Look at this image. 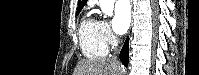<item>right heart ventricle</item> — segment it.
<instances>
[{"label":"right heart ventricle","instance_id":"1","mask_svg":"<svg viewBox=\"0 0 199 75\" xmlns=\"http://www.w3.org/2000/svg\"><path fill=\"white\" fill-rule=\"evenodd\" d=\"M79 42L83 55L89 59L103 58L108 53V46L100 33L99 21L84 18L79 28Z\"/></svg>","mask_w":199,"mask_h":75}]
</instances>
